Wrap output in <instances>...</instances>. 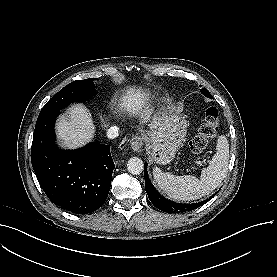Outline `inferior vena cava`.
<instances>
[{
	"mask_svg": "<svg viewBox=\"0 0 277 277\" xmlns=\"http://www.w3.org/2000/svg\"><path fill=\"white\" fill-rule=\"evenodd\" d=\"M119 136V128L117 126H112L107 131V137L109 139H114Z\"/></svg>",
	"mask_w": 277,
	"mask_h": 277,
	"instance_id": "inferior-vena-cava-1",
	"label": "inferior vena cava"
}]
</instances>
